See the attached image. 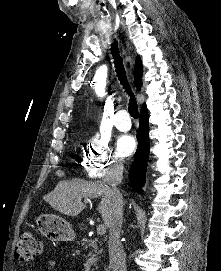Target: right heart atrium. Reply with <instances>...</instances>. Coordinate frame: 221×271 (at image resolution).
<instances>
[{
  "mask_svg": "<svg viewBox=\"0 0 221 271\" xmlns=\"http://www.w3.org/2000/svg\"><path fill=\"white\" fill-rule=\"evenodd\" d=\"M89 151L83 154V170H90L87 172V177H102V173H106L107 167H112V154L108 151V146H89Z\"/></svg>",
  "mask_w": 221,
  "mask_h": 271,
  "instance_id": "obj_1",
  "label": "right heart atrium"
}]
</instances>
